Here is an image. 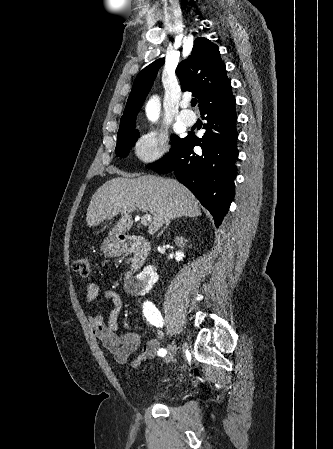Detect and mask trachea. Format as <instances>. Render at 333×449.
<instances>
[{
  "label": "trachea",
  "mask_w": 333,
  "mask_h": 449,
  "mask_svg": "<svg viewBox=\"0 0 333 449\" xmlns=\"http://www.w3.org/2000/svg\"><path fill=\"white\" fill-rule=\"evenodd\" d=\"M197 104V100L196 99H192L191 101V106L194 107Z\"/></svg>",
  "instance_id": "1"
}]
</instances>
